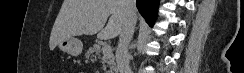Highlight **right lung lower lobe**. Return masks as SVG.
I'll list each match as a JSON object with an SVG mask.
<instances>
[{
	"label": "right lung lower lobe",
	"mask_w": 244,
	"mask_h": 73,
	"mask_svg": "<svg viewBox=\"0 0 244 73\" xmlns=\"http://www.w3.org/2000/svg\"><path fill=\"white\" fill-rule=\"evenodd\" d=\"M137 8L147 23L152 26L157 17L159 0H136Z\"/></svg>",
	"instance_id": "98d812e1"
}]
</instances>
